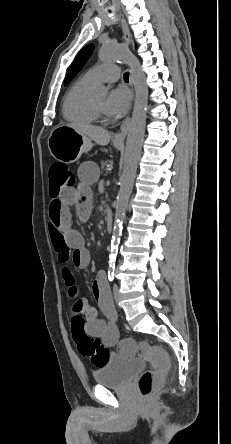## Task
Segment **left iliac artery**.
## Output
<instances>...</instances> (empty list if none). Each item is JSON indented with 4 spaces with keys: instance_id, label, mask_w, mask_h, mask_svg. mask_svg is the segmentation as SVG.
<instances>
[{
    "instance_id": "1",
    "label": "left iliac artery",
    "mask_w": 231,
    "mask_h": 444,
    "mask_svg": "<svg viewBox=\"0 0 231 444\" xmlns=\"http://www.w3.org/2000/svg\"><path fill=\"white\" fill-rule=\"evenodd\" d=\"M108 279H109V281H113V279H114V267L109 268Z\"/></svg>"
}]
</instances>
